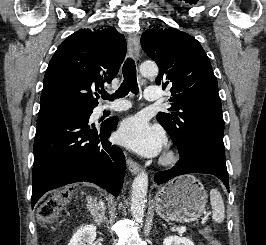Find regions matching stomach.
Listing matches in <instances>:
<instances>
[{"label": "stomach", "mask_w": 266, "mask_h": 245, "mask_svg": "<svg viewBox=\"0 0 266 245\" xmlns=\"http://www.w3.org/2000/svg\"><path fill=\"white\" fill-rule=\"evenodd\" d=\"M207 193L193 175L176 177L155 195V211L167 221H195L205 211Z\"/></svg>", "instance_id": "1"}]
</instances>
